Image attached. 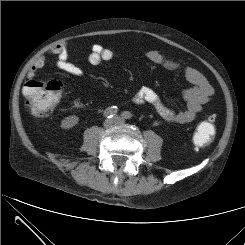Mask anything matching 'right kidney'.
I'll list each match as a JSON object with an SVG mask.
<instances>
[{"mask_svg": "<svg viewBox=\"0 0 245 245\" xmlns=\"http://www.w3.org/2000/svg\"><path fill=\"white\" fill-rule=\"evenodd\" d=\"M79 118L75 115L68 116L61 122V127L64 129H69L78 124Z\"/></svg>", "mask_w": 245, "mask_h": 245, "instance_id": "ca27d5eb", "label": "right kidney"}]
</instances>
